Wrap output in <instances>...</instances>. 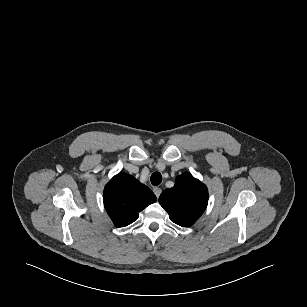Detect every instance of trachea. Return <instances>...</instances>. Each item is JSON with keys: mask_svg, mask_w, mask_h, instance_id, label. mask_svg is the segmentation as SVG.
<instances>
[{"mask_svg": "<svg viewBox=\"0 0 307 307\" xmlns=\"http://www.w3.org/2000/svg\"><path fill=\"white\" fill-rule=\"evenodd\" d=\"M162 182V175L159 172H154L151 175V183L154 186H158Z\"/></svg>", "mask_w": 307, "mask_h": 307, "instance_id": "trachea-1", "label": "trachea"}]
</instances>
